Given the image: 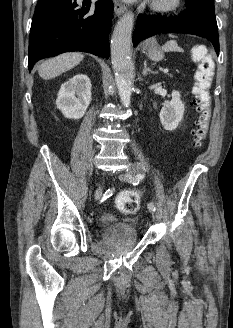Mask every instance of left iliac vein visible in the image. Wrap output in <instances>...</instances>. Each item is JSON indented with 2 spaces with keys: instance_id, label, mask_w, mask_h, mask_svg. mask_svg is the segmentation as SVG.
<instances>
[{
  "instance_id": "left-iliac-vein-1",
  "label": "left iliac vein",
  "mask_w": 233,
  "mask_h": 328,
  "mask_svg": "<svg viewBox=\"0 0 233 328\" xmlns=\"http://www.w3.org/2000/svg\"><path fill=\"white\" fill-rule=\"evenodd\" d=\"M137 173H138V167H137V165L132 164L130 166L129 170L126 173L121 174L119 176V178H120L121 181L132 183L133 179H135L134 176ZM152 217H153V219L156 218V214L154 213V211H152Z\"/></svg>"
}]
</instances>
